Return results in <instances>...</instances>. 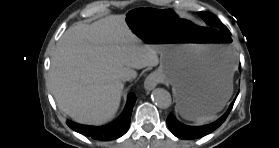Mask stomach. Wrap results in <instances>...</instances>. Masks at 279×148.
<instances>
[{"instance_id":"stomach-1","label":"stomach","mask_w":279,"mask_h":148,"mask_svg":"<svg viewBox=\"0 0 279 148\" xmlns=\"http://www.w3.org/2000/svg\"><path fill=\"white\" fill-rule=\"evenodd\" d=\"M124 24L157 49L158 75L172 85L183 118L209 116L224 107L232 92L235 65L224 29L203 27L176 9L153 5L129 9Z\"/></svg>"}]
</instances>
